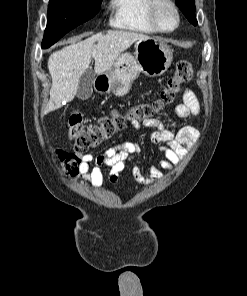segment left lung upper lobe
I'll list each match as a JSON object with an SVG mask.
<instances>
[{
	"instance_id": "1",
	"label": "left lung upper lobe",
	"mask_w": 247,
	"mask_h": 296,
	"mask_svg": "<svg viewBox=\"0 0 247 296\" xmlns=\"http://www.w3.org/2000/svg\"><path fill=\"white\" fill-rule=\"evenodd\" d=\"M178 7L181 9L183 14L186 16L188 21L193 25H197L195 17V2L194 0H175Z\"/></svg>"
}]
</instances>
